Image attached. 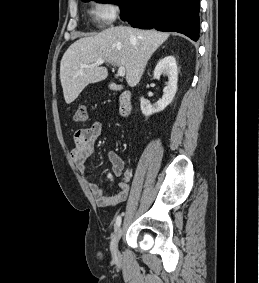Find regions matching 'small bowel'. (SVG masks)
I'll list each match as a JSON object with an SVG mask.
<instances>
[{
  "label": "small bowel",
  "mask_w": 259,
  "mask_h": 283,
  "mask_svg": "<svg viewBox=\"0 0 259 283\" xmlns=\"http://www.w3.org/2000/svg\"><path fill=\"white\" fill-rule=\"evenodd\" d=\"M101 132L102 123L93 121L88 127L79 129L74 134V148L71 151V157L77 169L88 178H92L94 174L88 169L87 160L94 153L95 142L100 137ZM107 157L112 165V174L108 178H120V191L113 196H108L100 184L90 183L91 192L100 207H111L123 202L131 190V169H124V161L116 151H108Z\"/></svg>",
  "instance_id": "small-bowel-1"
}]
</instances>
